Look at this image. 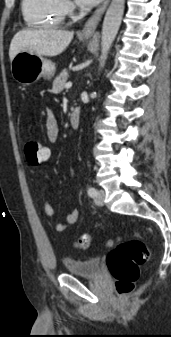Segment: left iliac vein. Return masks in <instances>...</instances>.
<instances>
[{
  "instance_id": "obj_1",
  "label": "left iliac vein",
  "mask_w": 171,
  "mask_h": 337,
  "mask_svg": "<svg viewBox=\"0 0 171 337\" xmlns=\"http://www.w3.org/2000/svg\"><path fill=\"white\" fill-rule=\"evenodd\" d=\"M104 197L105 192L103 190H99L95 198V203L100 206L104 205Z\"/></svg>"
}]
</instances>
